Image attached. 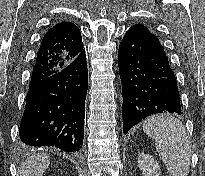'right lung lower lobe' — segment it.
Instances as JSON below:
<instances>
[{
    "instance_id": "obj_1",
    "label": "right lung lower lobe",
    "mask_w": 205,
    "mask_h": 176,
    "mask_svg": "<svg viewBox=\"0 0 205 176\" xmlns=\"http://www.w3.org/2000/svg\"><path fill=\"white\" fill-rule=\"evenodd\" d=\"M88 71L85 51L29 88L19 136L24 146L78 152L84 138Z\"/></svg>"
}]
</instances>
